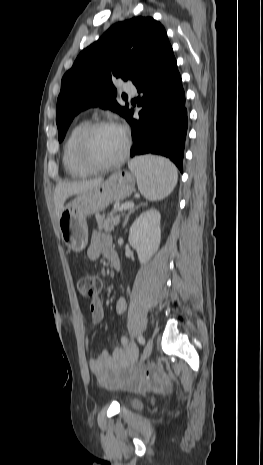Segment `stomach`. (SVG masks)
I'll return each mask as SVG.
<instances>
[{
    "mask_svg": "<svg viewBox=\"0 0 263 465\" xmlns=\"http://www.w3.org/2000/svg\"><path fill=\"white\" fill-rule=\"evenodd\" d=\"M135 190V176L128 171H116L105 182L79 193L63 208L59 219L62 240L69 249L80 252L88 242L87 217L110 204L126 199Z\"/></svg>",
    "mask_w": 263,
    "mask_h": 465,
    "instance_id": "stomach-1",
    "label": "stomach"
}]
</instances>
